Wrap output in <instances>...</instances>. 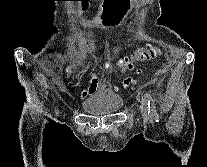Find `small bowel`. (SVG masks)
<instances>
[{"label":"small bowel","instance_id":"obj_1","mask_svg":"<svg viewBox=\"0 0 207 167\" xmlns=\"http://www.w3.org/2000/svg\"><path fill=\"white\" fill-rule=\"evenodd\" d=\"M130 3L131 0H105L103 10H98V14H102L103 19L107 20H100V24H122V20L119 19L125 17L128 9H130ZM78 5H91V1H78ZM124 83L128 84L129 80H126ZM96 87L97 81L93 80L92 86L83 95L95 92ZM118 91L119 88L114 86L113 92L117 93Z\"/></svg>","mask_w":207,"mask_h":167}]
</instances>
